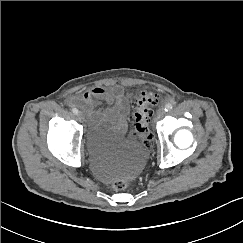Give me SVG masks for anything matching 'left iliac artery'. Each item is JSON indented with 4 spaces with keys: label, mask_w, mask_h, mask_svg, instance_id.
Masks as SVG:
<instances>
[{
    "label": "left iliac artery",
    "mask_w": 243,
    "mask_h": 243,
    "mask_svg": "<svg viewBox=\"0 0 243 243\" xmlns=\"http://www.w3.org/2000/svg\"><path fill=\"white\" fill-rule=\"evenodd\" d=\"M173 108V105L171 103H168L165 105V111H169Z\"/></svg>",
    "instance_id": "44dca946"
}]
</instances>
